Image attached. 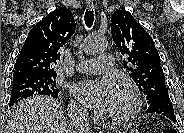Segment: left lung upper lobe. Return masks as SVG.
Instances as JSON below:
<instances>
[{"mask_svg":"<svg viewBox=\"0 0 184 133\" xmlns=\"http://www.w3.org/2000/svg\"><path fill=\"white\" fill-rule=\"evenodd\" d=\"M111 22L112 38L127 60L124 61L126 71L146 95L147 103L169 99L152 37L125 9L114 12Z\"/></svg>","mask_w":184,"mask_h":133,"instance_id":"obj_1","label":"left lung upper lobe"}]
</instances>
